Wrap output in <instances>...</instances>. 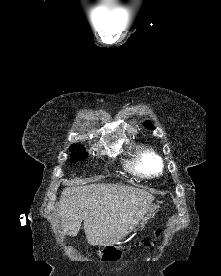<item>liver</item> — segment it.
<instances>
[{"label": "liver", "mask_w": 221, "mask_h": 276, "mask_svg": "<svg viewBox=\"0 0 221 276\" xmlns=\"http://www.w3.org/2000/svg\"><path fill=\"white\" fill-rule=\"evenodd\" d=\"M154 201L151 193L125 185L91 184L61 192L58 217L69 236H76L84 221L89 245L106 246L124 239Z\"/></svg>", "instance_id": "obj_1"}]
</instances>
